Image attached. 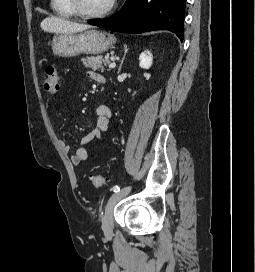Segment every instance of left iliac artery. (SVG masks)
I'll list each match as a JSON object with an SVG mask.
<instances>
[{"mask_svg": "<svg viewBox=\"0 0 255 272\" xmlns=\"http://www.w3.org/2000/svg\"><path fill=\"white\" fill-rule=\"evenodd\" d=\"M113 191H114V192H119V191H120V187L117 186V185L114 186V187H113Z\"/></svg>", "mask_w": 255, "mask_h": 272, "instance_id": "left-iliac-artery-1", "label": "left iliac artery"}]
</instances>
